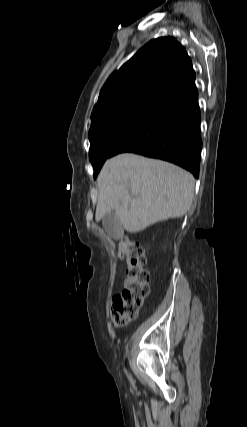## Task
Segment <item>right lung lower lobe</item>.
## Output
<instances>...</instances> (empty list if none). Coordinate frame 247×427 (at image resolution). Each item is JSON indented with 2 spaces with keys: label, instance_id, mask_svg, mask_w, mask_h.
<instances>
[{
  "label": "right lung lower lobe",
  "instance_id": "1",
  "mask_svg": "<svg viewBox=\"0 0 247 427\" xmlns=\"http://www.w3.org/2000/svg\"><path fill=\"white\" fill-rule=\"evenodd\" d=\"M202 139L195 85L160 104L112 152H133L177 164L199 177Z\"/></svg>",
  "mask_w": 247,
  "mask_h": 427
}]
</instances>
